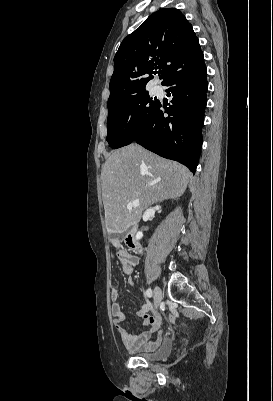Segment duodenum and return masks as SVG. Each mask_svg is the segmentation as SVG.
Segmentation results:
<instances>
[{"mask_svg":"<svg viewBox=\"0 0 273 401\" xmlns=\"http://www.w3.org/2000/svg\"><path fill=\"white\" fill-rule=\"evenodd\" d=\"M135 232H136V227H133L131 231L128 233L126 237V243L129 247L132 249L139 251L140 250V245L136 242L135 240Z\"/></svg>","mask_w":273,"mask_h":401,"instance_id":"410a0bca","label":"duodenum"}]
</instances>
